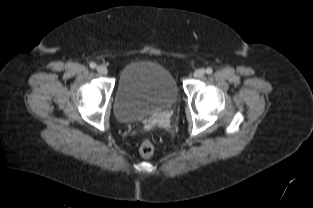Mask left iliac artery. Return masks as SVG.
<instances>
[{"instance_id":"44dca946","label":"left iliac artery","mask_w":313,"mask_h":208,"mask_svg":"<svg viewBox=\"0 0 313 208\" xmlns=\"http://www.w3.org/2000/svg\"><path fill=\"white\" fill-rule=\"evenodd\" d=\"M212 72H213V69H212L211 67H208V68L206 69V73H207V74H212Z\"/></svg>"}]
</instances>
